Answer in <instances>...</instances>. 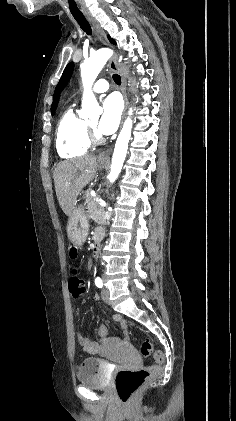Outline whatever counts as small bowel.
<instances>
[{
    "label": "small bowel",
    "instance_id": "obj_1",
    "mask_svg": "<svg viewBox=\"0 0 236 421\" xmlns=\"http://www.w3.org/2000/svg\"><path fill=\"white\" fill-rule=\"evenodd\" d=\"M101 332H104V333H106V334H107V329H106V327L102 326V327L100 328V333H101Z\"/></svg>",
    "mask_w": 236,
    "mask_h": 421
}]
</instances>
